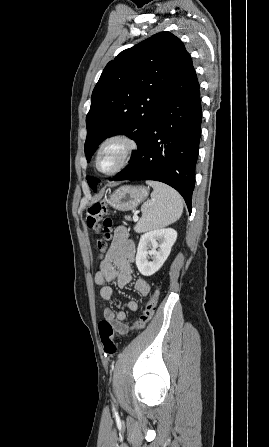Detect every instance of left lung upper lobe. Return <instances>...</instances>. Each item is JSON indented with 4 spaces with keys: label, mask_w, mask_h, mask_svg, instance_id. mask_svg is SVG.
Instances as JSON below:
<instances>
[{
    "label": "left lung upper lobe",
    "mask_w": 269,
    "mask_h": 447,
    "mask_svg": "<svg viewBox=\"0 0 269 447\" xmlns=\"http://www.w3.org/2000/svg\"><path fill=\"white\" fill-rule=\"evenodd\" d=\"M186 55L179 38L160 32L124 50L106 65L86 116L88 162L104 139L117 134L127 135L137 143L138 150L131 155L130 163L133 161ZM87 181L96 191L99 179L88 176Z\"/></svg>",
    "instance_id": "5c2ea615"
}]
</instances>
